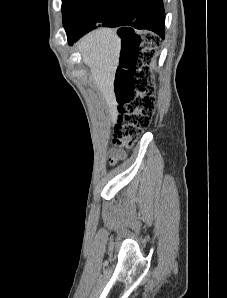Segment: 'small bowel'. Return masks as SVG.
Masks as SVG:
<instances>
[{"label":"small bowel","instance_id":"c3829d8e","mask_svg":"<svg viewBox=\"0 0 227 298\" xmlns=\"http://www.w3.org/2000/svg\"><path fill=\"white\" fill-rule=\"evenodd\" d=\"M126 157L124 150L119 148H112L108 151L107 158L111 164L117 163L120 160H123Z\"/></svg>","mask_w":227,"mask_h":298}]
</instances>
